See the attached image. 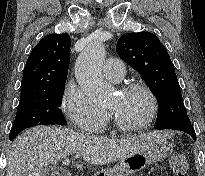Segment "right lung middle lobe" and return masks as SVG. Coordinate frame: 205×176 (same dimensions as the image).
I'll return each mask as SVG.
<instances>
[{
    "label": "right lung middle lobe",
    "instance_id": "dd1d6c3e",
    "mask_svg": "<svg viewBox=\"0 0 205 176\" xmlns=\"http://www.w3.org/2000/svg\"><path fill=\"white\" fill-rule=\"evenodd\" d=\"M64 89L65 83L21 96L9 139H14L25 128L36 125H66L59 109Z\"/></svg>",
    "mask_w": 205,
    "mask_h": 176
}]
</instances>
